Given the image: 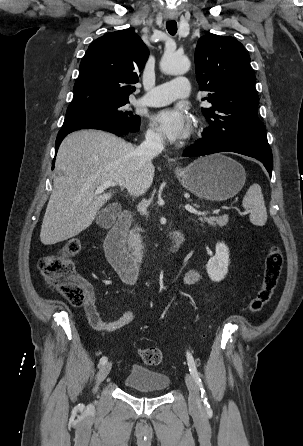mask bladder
<instances>
[{
    "instance_id": "bladder-1",
    "label": "bladder",
    "mask_w": 303,
    "mask_h": 446,
    "mask_svg": "<svg viewBox=\"0 0 303 446\" xmlns=\"http://www.w3.org/2000/svg\"><path fill=\"white\" fill-rule=\"evenodd\" d=\"M167 374L142 366L132 367L124 378V386L131 391L163 393L170 387Z\"/></svg>"
}]
</instances>
